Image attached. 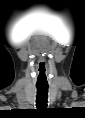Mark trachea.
<instances>
[{
	"label": "trachea",
	"instance_id": "3493384b",
	"mask_svg": "<svg viewBox=\"0 0 85 118\" xmlns=\"http://www.w3.org/2000/svg\"><path fill=\"white\" fill-rule=\"evenodd\" d=\"M48 89L37 88L36 105L38 108H44L47 106Z\"/></svg>",
	"mask_w": 85,
	"mask_h": 118
}]
</instances>
